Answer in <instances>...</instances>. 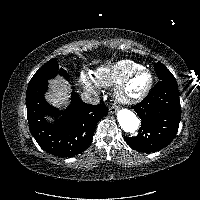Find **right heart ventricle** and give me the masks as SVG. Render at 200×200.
Instances as JSON below:
<instances>
[{
  "mask_svg": "<svg viewBox=\"0 0 200 200\" xmlns=\"http://www.w3.org/2000/svg\"><path fill=\"white\" fill-rule=\"evenodd\" d=\"M142 67L143 65L136 61L122 59L98 68L94 73V78L102 87H113L119 84L131 72Z\"/></svg>",
  "mask_w": 200,
  "mask_h": 200,
  "instance_id": "e07e8e85",
  "label": "right heart ventricle"
}]
</instances>
